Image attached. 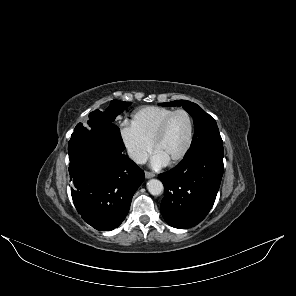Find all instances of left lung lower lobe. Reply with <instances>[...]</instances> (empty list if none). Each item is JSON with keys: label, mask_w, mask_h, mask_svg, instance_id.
I'll use <instances>...</instances> for the list:
<instances>
[{"label": "left lung lower lobe", "mask_w": 296, "mask_h": 296, "mask_svg": "<svg viewBox=\"0 0 296 296\" xmlns=\"http://www.w3.org/2000/svg\"><path fill=\"white\" fill-rule=\"evenodd\" d=\"M223 145L203 149L158 178L164 185L161 213L172 227L201 222L212 208L223 175Z\"/></svg>", "instance_id": "left-lung-lower-lobe-1"}]
</instances>
